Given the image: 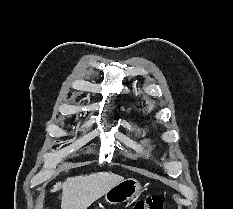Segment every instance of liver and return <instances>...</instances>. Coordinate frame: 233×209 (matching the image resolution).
Returning <instances> with one entry per match:
<instances>
[{
    "label": "liver",
    "mask_w": 233,
    "mask_h": 209,
    "mask_svg": "<svg viewBox=\"0 0 233 209\" xmlns=\"http://www.w3.org/2000/svg\"><path fill=\"white\" fill-rule=\"evenodd\" d=\"M123 179L112 172L68 177L62 183L61 209H87ZM59 186L60 183H57L51 192Z\"/></svg>",
    "instance_id": "1"
}]
</instances>
